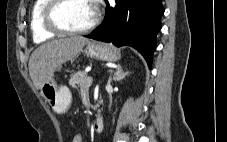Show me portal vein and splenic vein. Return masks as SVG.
Listing matches in <instances>:
<instances>
[{
	"label": "portal vein and splenic vein",
	"instance_id": "18ae733b",
	"mask_svg": "<svg viewBox=\"0 0 227 142\" xmlns=\"http://www.w3.org/2000/svg\"><path fill=\"white\" fill-rule=\"evenodd\" d=\"M92 83H93V78L91 76H89L87 78V82H86V85L84 87H89V86L92 85Z\"/></svg>",
	"mask_w": 227,
	"mask_h": 142
}]
</instances>
